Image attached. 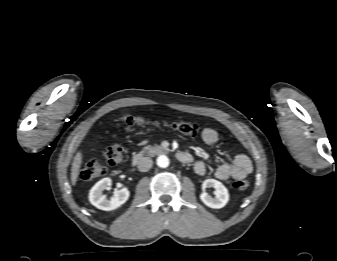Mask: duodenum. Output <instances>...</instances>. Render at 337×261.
<instances>
[{
    "label": "duodenum",
    "mask_w": 337,
    "mask_h": 261,
    "mask_svg": "<svg viewBox=\"0 0 337 261\" xmlns=\"http://www.w3.org/2000/svg\"><path fill=\"white\" fill-rule=\"evenodd\" d=\"M142 159V155L136 154L133 156L131 163L133 166H136L142 161ZM177 159L182 163H189L192 161V156L186 152H180L177 154Z\"/></svg>",
    "instance_id": "1"
}]
</instances>
